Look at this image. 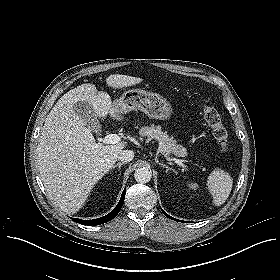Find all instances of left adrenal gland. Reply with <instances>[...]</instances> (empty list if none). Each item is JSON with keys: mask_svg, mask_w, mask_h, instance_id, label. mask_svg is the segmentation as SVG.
<instances>
[{"mask_svg": "<svg viewBox=\"0 0 280 280\" xmlns=\"http://www.w3.org/2000/svg\"><path fill=\"white\" fill-rule=\"evenodd\" d=\"M158 164L164 168H166V171H173L175 172V170L173 168H170L169 166H167L166 164L162 163V162H158Z\"/></svg>", "mask_w": 280, "mask_h": 280, "instance_id": "a2214340", "label": "left adrenal gland"}]
</instances>
